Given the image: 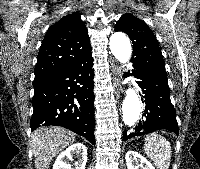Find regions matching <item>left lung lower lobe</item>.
I'll list each match as a JSON object with an SVG mask.
<instances>
[{"label": "left lung lower lobe", "mask_w": 200, "mask_h": 169, "mask_svg": "<svg viewBox=\"0 0 200 169\" xmlns=\"http://www.w3.org/2000/svg\"><path fill=\"white\" fill-rule=\"evenodd\" d=\"M137 84L145 94V112L139 125L131 131H124L123 139L148 134L157 130H170L178 134L176 111L170 100L167 78L149 68L133 66Z\"/></svg>", "instance_id": "1"}]
</instances>
